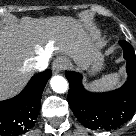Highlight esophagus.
I'll return each mask as SVG.
<instances>
[{"label":"esophagus","instance_id":"1","mask_svg":"<svg viewBox=\"0 0 136 136\" xmlns=\"http://www.w3.org/2000/svg\"><path fill=\"white\" fill-rule=\"evenodd\" d=\"M66 65V62L64 61L63 58H57L53 62V71L54 73H59Z\"/></svg>","mask_w":136,"mask_h":136}]
</instances>
